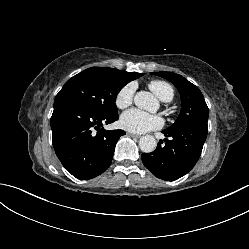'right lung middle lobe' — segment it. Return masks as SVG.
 Returning <instances> with one entry per match:
<instances>
[{
	"mask_svg": "<svg viewBox=\"0 0 249 249\" xmlns=\"http://www.w3.org/2000/svg\"><path fill=\"white\" fill-rule=\"evenodd\" d=\"M128 82L121 70L92 67L69 79L55 99H70L99 115H115L117 94Z\"/></svg>",
	"mask_w": 249,
	"mask_h": 249,
	"instance_id": "right-lung-middle-lobe-1",
	"label": "right lung middle lobe"
}]
</instances>
